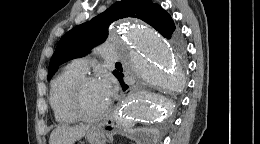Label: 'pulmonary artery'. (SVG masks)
I'll return each mask as SVG.
<instances>
[{
  "mask_svg": "<svg viewBox=\"0 0 260 144\" xmlns=\"http://www.w3.org/2000/svg\"><path fill=\"white\" fill-rule=\"evenodd\" d=\"M97 53L102 55L107 61H116L120 59V56L117 53L116 49L107 44L101 45L97 49ZM90 63L91 59L89 57H81L74 59L71 65L84 74L88 71Z\"/></svg>",
  "mask_w": 260,
  "mask_h": 144,
  "instance_id": "pulmonary-artery-1",
  "label": "pulmonary artery"
}]
</instances>
